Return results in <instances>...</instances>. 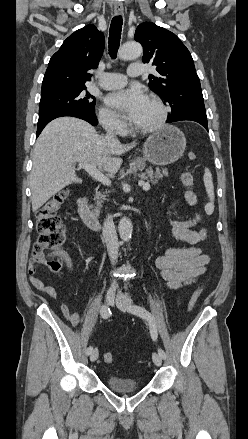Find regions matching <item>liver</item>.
Segmentation results:
<instances>
[{"mask_svg":"<svg viewBox=\"0 0 248 439\" xmlns=\"http://www.w3.org/2000/svg\"><path fill=\"white\" fill-rule=\"evenodd\" d=\"M136 143L122 145L107 139L86 121L60 117L51 121L38 137L33 150L30 173L33 212L71 183L80 182L74 163H93L110 174L118 172L122 155Z\"/></svg>","mask_w":248,"mask_h":439,"instance_id":"6515ba94","label":"liver"}]
</instances>
